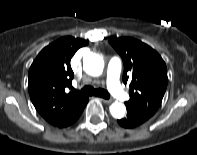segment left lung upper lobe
I'll list each match as a JSON object with an SVG mask.
<instances>
[{
  "mask_svg": "<svg viewBox=\"0 0 197 155\" xmlns=\"http://www.w3.org/2000/svg\"><path fill=\"white\" fill-rule=\"evenodd\" d=\"M122 57L123 82H130L127 108L149 119L161 105L168 77L166 64L161 56L147 44L130 37L109 41Z\"/></svg>",
  "mask_w": 197,
  "mask_h": 155,
  "instance_id": "left-lung-upper-lobe-1",
  "label": "left lung upper lobe"
}]
</instances>
